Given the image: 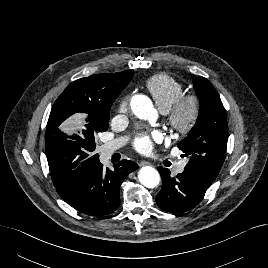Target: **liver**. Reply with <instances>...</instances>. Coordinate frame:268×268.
I'll return each mask as SVG.
<instances>
[{"label": "liver", "mask_w": 268, "mask_h": 268, "mask_svg": "<svg viewBox=\"0 0 268 268\" xmlns=\"http://www.w3.org/2000/svg\"><path fill=\"white\" fill-rule=\"evenodd\" d=\"M81 124L80 118H75L74 120H71L66 124V130L67 131H74L76 127H79Z\"/></svg>", "instance_id": "liver-1"}]
</instances>
